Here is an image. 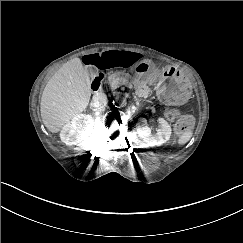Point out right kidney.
Wrapping results in <instances>:
<instances>
[{
  "instance_id": "obj_1",
  "label": "right kidney",
  "mask_w": 243,
  "mask_h": 243,
  "mask_svg": "<svg viewBox=\"0 0 243 243\" xmlns=\"http://www.w3.org/2000/svg\"><path fill=\"white\" fill-rule=\"evenodd\" d=\"M93 124V118L88 114H75L71 121L66 123L60 132V139L66 145H76L80 143L86 135L88 128Z\"/></svg>"
}]
</instances>
